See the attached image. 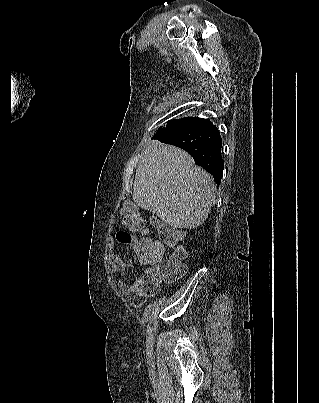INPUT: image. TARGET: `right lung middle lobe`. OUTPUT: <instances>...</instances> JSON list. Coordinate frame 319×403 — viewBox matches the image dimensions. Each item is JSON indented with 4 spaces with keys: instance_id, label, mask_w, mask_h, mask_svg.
Returning a JSON list of instances; mask_svg holds the SVG:
<instances>
[{
    "instance_id": "dd1d6c3e",
    "label": "right lung middle lobe",
    "mask_w": 319,
    "mask_h": 403,
    "mask_svg": "<svg viewBox=\"0 0 319 403\" xmlns=\"http://www.w3.org/2000/svg\"><path fill=\"white\" fill-rule=\"evenodd\" d=\"M199 119H201V118H199V117H195V118L186 117V118H183V119H180V120L168 121L167 122V127L168 128H170V127H174V128L184 127V126H187V125H189V124H191V123H193V122H195V121H197ZM160 130H162V127H160Z\"/></svg>"
}]
</instances>
